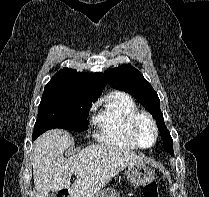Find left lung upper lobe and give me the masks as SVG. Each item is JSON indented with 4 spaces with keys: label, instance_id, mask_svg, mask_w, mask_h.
Wrapping results in <instances>:
<instances>
[{
    "label": "left lung upper lobe",
    "instance_id": "obj_1",
    "mask_svg": "<svg viewBox=\"0 0 209 197\" xmlns=\"http://www.w3.org/2000/svg\"><path fill=\"white\" fill-rule=\"evenodd\" d=\"M104 75L111 87L131 94L153 115L156 119L165 151L173 154V140L164 124L163 114L160 110V100L157 92L149 82L131 65H121L108 69L104 72Z\"/></svg>",
    "mask_w": 209,
    "mask_h": 197
}]
</instances>
